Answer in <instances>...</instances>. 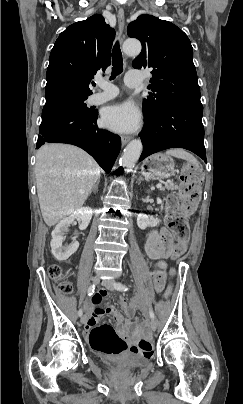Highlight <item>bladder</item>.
Returning <instances> with one entry per match:
<instances>
[{
	"instance_id": "31cf9c89",
	"label": "bladder",
	"mask_w": 243,
	"mask_h": 404,
	"mask_svg": "<svg viewBox=\"0 0 243 404\" xmlns=\"http://www.w3.org/2000/svg\"><path fill=\"white\" fill-rule=\"evenodd\" d=\"M149 363V358L146 356L132 354L119 361H106L104 364L107 368L117 372H129L134 369L144 367Z\"/></svg>"
}]
</instances>
